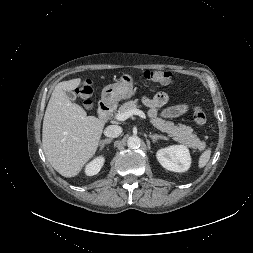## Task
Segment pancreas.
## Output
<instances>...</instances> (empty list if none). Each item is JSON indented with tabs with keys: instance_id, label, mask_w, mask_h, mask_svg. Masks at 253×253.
Listing matches in <instances>:
<instances>
[{
	"instance_id": "obj_1",
	"label": "pancreas",
	"mask_w": 253,
	"mask_h": 253,
	"mask_svg": "<svg viewBox=\"0 0 253 253\" xmlns=\"http://www.w3.org/2000/svg\"><path fill=\"white\" fill-rule=\"evenodd\" d=\"M137 102V100L125 102L118 109V113H125L137 109ZM152 123L160 131L168 133L174 140L182 144H186L194 150L202 148L203 143L197 135L193 133V129L191 127L182 124L175 125L173 122L165 121L159 117H153Z\"/></svg>"
}]
</instances>
